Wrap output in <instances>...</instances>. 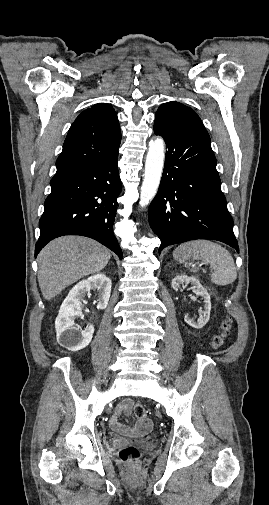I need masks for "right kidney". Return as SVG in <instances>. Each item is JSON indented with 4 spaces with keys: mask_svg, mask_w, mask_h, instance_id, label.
<instances>
[{
    "mask_svg": "<svg viewBox=\"0 0 269 505\" xmlns=\"http://www.w3.org/2000/svg\"><path fill=\"white\" fill-rule=\"evenodd\" d=\"M112 283L104 274H96L77 283L63 301L55 321L57 340L70 351H79L92 340L94 326L88 325L84 330L75 327V319L82 316V303L86 293L98 292L97 307L105 309L111 294Z\"/></svg>",
    "mask_w": 269,
    "mask_h": 505,
    "instance_id": "1",
    "label": "right kidney"
}]
</instances>
